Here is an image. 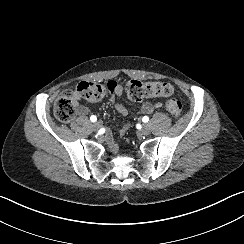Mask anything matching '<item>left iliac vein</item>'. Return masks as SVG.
Wrapping results in <instances>:
<instances>
[{
	"mask_svg": "<svg viewBox=\"0 0 244 244\" xmlns=\"http://www.w3.org/2000/svg\"><path fill=\"white\" fill-rule=\"evenodd\" d=\"M140 132L143 134V135H148L150 132H151V129L149 127L148 124H144L140 130Z\"/></svg>",
	"mask_w": 244,
	"mask_h": 244,
	"instance_id": "1",
	"label": "left iliac vein"
}]
</instances>
